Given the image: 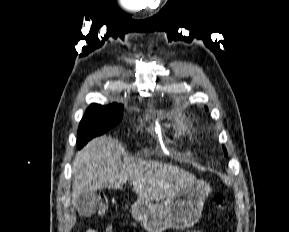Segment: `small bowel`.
Instances as JSON below:
<instances>
[{"label":"small bowel","instance_id":"small-bowel-1","mask_svg":"<svg viewBox=\"0 0 289 232\" xmlns=\"http://www.w3.org/2000/svg\"><path fill=\"white\" fill-rule=\"evenodd\" d=\"M86 232H98V231L95 229H88Z\"/></svg>","mask_w":289,"mask_h":232}]
</instances>
